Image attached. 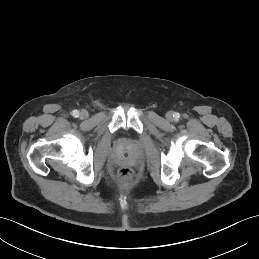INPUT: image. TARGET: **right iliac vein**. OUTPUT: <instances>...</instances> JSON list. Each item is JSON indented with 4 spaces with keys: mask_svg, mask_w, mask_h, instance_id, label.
I'll use <instances>...</instances> for the list:
<instances>
[{
    "mask_svg": "<svg viewBox=\"0 0 259 259\" xmlns=\"http://www.w3.org/2000/svg\"><path fill=\"white\" fill-rule=\"evenodd\" d=\"M88 116H89V114L86 110H81V112H80L81 119H86V118H88Z\"/></svg>",
    "mask_w": 259,
    "mask_h": 259,
    "instance_id": "right-iliac-vein-1",
    "label": "right iliac vein"
}]
</instances>
